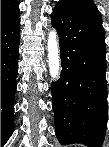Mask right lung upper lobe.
I'll use <instances>...</instances> for the list:
<instances>
[{
    "label": "right lung upper lobe",
    "instance_id": "cb5924a9",
    "mask_svg": "<svg viewBox=\"0 0 109 147\" xmlns=\"http://www.w3.org/2000/svg\"><path fill=\"white\" fill-rule=\"evenodd\" d=\"M19 5L16 0H1V26L19 16Z\"/></svg>",
    "mask_w": 109,
    "mask_h": 147
}]
</instances>
